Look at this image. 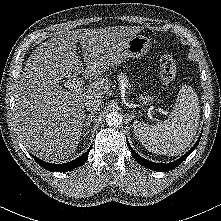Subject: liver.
Masks as SVG:
<instances>
[{
    "label": "liver",
    "instance_id": "liver-1",
    "mask_svg": "<svg viewBox=\"0 0 221 221\" xmlns=\"http://www.w3.org/2000/svg\"><path fill=\"white\" fill-rule=\"evenodd\" d=\"M140 27L72 30L40 44L30 55L15 91L14 125L25 147L46 161L64 160L77 149L85 103L101 99L111 82L100 78ZM80 43L86 68L77 56ZM89 79L87 87L63 89L61 79Z\"/></svg>",
    "mask_w": 221,
    "mask_h": 221
}]
</instances>
